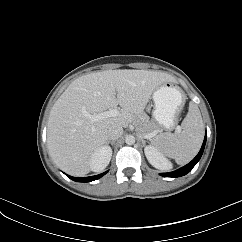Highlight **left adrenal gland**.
I'll list each match as a JSON object with an SVG mask.
<instances>
[{"label":"left adrenal gland","instance_id":"1","mask_svg":"<svg viewBox=\"0 0 242 242\" xmlns=\"http://www.w3.org/2000/svg\"><path fill=\"white\" fill-rule=\"evenodd\" d=\"M140 140L142 142V145L145 147V144H146V140H144V138L142 136H140Z\"/></svg>","mask_w":242,"mask_h":242}]
</instances>
